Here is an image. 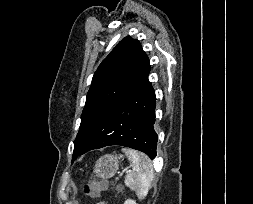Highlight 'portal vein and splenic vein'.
<instances>
[{
  "label": "portal vein and splenic vein",
  "mask_w": 253,
  "mask_h": 204,
  "mask_svg": "<svg viewBox=\"0 0 253 204\" xmlns=\"http://www.w3.org/2000/svg\"><path fill=\"white\" fill-rule=\"evenodd\" d=\"M131 171L130 170H127L126 173H130Z\"/></svg>",
  "instance_id": "1"
}]
</instances>
